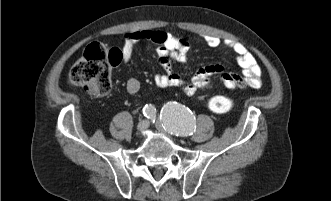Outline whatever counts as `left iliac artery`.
<instances>
[{
  "label": "left iliac artery",
  "mask_w": 331,
  "mask_h": 201,
  "mask_svg": "<svg viewBox=\"0 0 331 201\" xmlns=\"http://www.w3.org/2000/svg\"><path fill=\"white\" fill-rule=\"evenodd\" d=\"M160 119L165 130L177 136L192 135L195 131V117L182 104L170 102L161 110Z\"/></svg>",
  "instance_id": "obj_1"
}]
</instances>
